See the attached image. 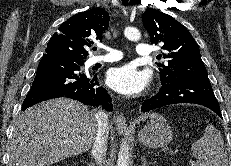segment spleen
<instances>
[{
  "label": "spleen",
  "instance_id": "3e777b00",
  "mask_svg": "<svg viewBox=\"0 0 231 166\" xmlns=\"http://www.w3.org/2000/svg\"><path fill=\"white\" fill-rule=\"evenodd\" d=\"M191 151L197 166H228L223 138L212 125L206 127L203 137L192 143Z\"/></svg>",
  "mask_w": 231,
  "mask_h": 166
}]
</instances>
